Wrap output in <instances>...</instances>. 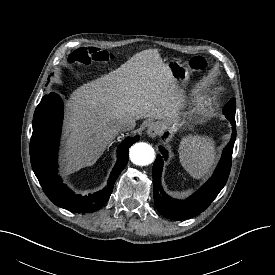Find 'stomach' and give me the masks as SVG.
I'll return each mask as SVG.
<instances>
[{"label":"stomach","instance_id":"0dacf381","mask_svg":"<svg viewBox=\"0 0 275 275\" xmlns=\"http://www.w3.org/2000/svg\"><path fill=\"white\" fill-rule=\"evenodd\" d=\"M167 66L170 68L172 76L178 87H183L188 82L189 79V69L181 64L178 61L171 60L167 63ZM176 115L170 118L168 121H161L158 123L161 130H174V125L172 123L175 122Z\"/></svg>","mask_w":275,"mask_h":275}]
</instances>
